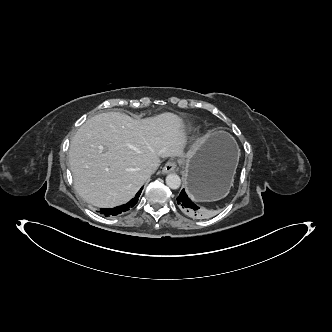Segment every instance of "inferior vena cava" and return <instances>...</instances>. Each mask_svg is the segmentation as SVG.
Returning a JSON list of instances; mask_svg holds the SVG:
<instances>
[{"label":"inferior vena cava","mask_w":332,"mask_h":332,"mask_svg":"<svg viewBox=\"0 0 332 332\" xmlns=\"http://www.w3.org/2000/svg\"><path fill=\"white\" fill-rule=\"evenodd\" d=\"M156 166L154 164L150 165L148 168H147V172L149 175L153 174L155 171H156Z\"/></svg>","instance_id":"inferior-vena-cava-1"}]
</instances>
